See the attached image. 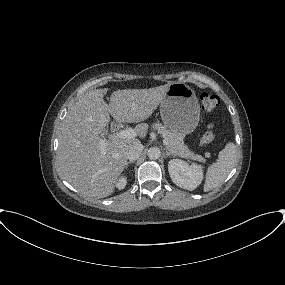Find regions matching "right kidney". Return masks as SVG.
I'll return each instance as SVG.
<instances>
[{
  "mask_svg": "<svg viewBox=\"0 0 285 285\" xmlns=\"http://www.w3.org/2000/svg\"><path fill=\"white\" fill-rule=\"evenodd\" d=\"M127 180L125 177H121L117 182H116V187L121 190L124 189L126 186Z\"/></svg>",
  "mask_w": 285,
  "mask_h": 285,
  "instance_id": "right-kidney-1",
  "label": "right kidney"
}]
</instances>
